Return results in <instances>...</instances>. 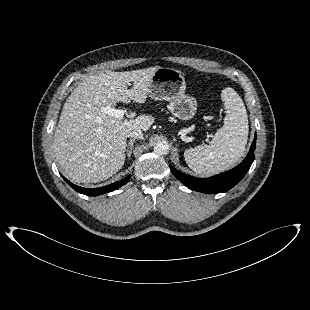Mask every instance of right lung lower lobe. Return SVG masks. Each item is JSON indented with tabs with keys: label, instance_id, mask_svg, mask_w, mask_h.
<instances>
[{
	"label": "right lung lower lobe",
	"instance_id": "obj_1",
	"mask_svg": "<svg viewBox=\"0 0 310 310\" xmlns=\"http://www.w3.org/2000/svg\"><path fill=\"white\" fill-rule=\"evenodd\" d=\"M63 177V176H62ZM131 175L127 176L126 178L112 183L110 185L104 186V187H100V188H94V189H89V188H82L79 186H76L74 184H72L70 181H68L66 178L63 177V179L77 192L87 195V196H98L101 194H105L111 191H114L116 189H118L119 187L123 186L124 184H126L129 179H130Z\"/></svg>",
	"mask_w": 310,
	"mask_h": 310
}]
</instances>
